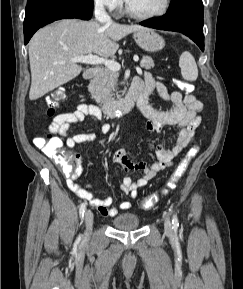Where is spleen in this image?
<instances>
[{
  "mask_svg": "<svg viewBox=\"0 0 243 289\" xmlns=\"http://www.w3.org/2000/svg\"><path fill=\"white\" fill-rule=\"evenodd\" d=\"M179 66L181 68L182 77L187 81H195L198 77V68L196 61L192 54L185 51L181 54L179 59Z\"/></svg>",
  "mask_w": 243,
  "mask_h": 289,
  "instance_id": "3e777b00",
  "label": "spleen"
}]
</instances>
